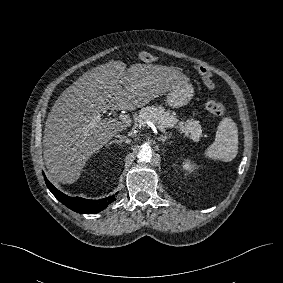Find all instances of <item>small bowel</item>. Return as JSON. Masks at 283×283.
Wrapping results in <instances>:
<instances>
[{"label": "small bowel", "mask_w": 283, "mask_h": 283, "mask_svg": "<svg viewBox=\"0 0 283 283\" xmlns=\"http://www.w3.org/2000/svg\"><path fill=\"white\" fill-rule=\"evenodd\" d=\"M198 70H199L200 74L202 75L205 86L209 89H213L214 84L211 80L210 72L203 67H199Z\"/></svg>", "instance_id": "obj_1"}]
</instances>
